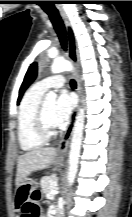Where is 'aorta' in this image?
<instances>
[{
    "label": "aorta",
    "mask_w": 132,
    "mask_h": 217,
    "mask_svg": "<svg viewBox=\"0 0 132 217\" xmlns=\"http://www.w3.org/2000/svg\"><path fill=\"white\" fill-rule=\"evenodd\" d=\"M64 71L74 72L75 70L73 65L69 61L59 59L54 60L51 66V72L53 74H58ZM56 98L57 94L54 91H50L45 95V103L55 104ZM84 120L85 108H80L76 116L69 152L68 178L70 181H73L77 173L78 160L80 156V147L83 136Z\"/></svg>",
    "instance_id": "1"
}]
</instances>
